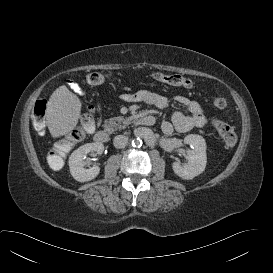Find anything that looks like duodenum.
Here are the masks:
<instances>
[{
    "mask_svg": "<svg viewBox=\"0 0 273 273\" xmlns=\"http://www.w3.org/2000/svg\"><path fill=\"white\" fill-rule=\"evenodd\" d=\"M154 123V117L150 115L141 116L137 119V124L140 126H150ZM94 140L97 143L105 144L110 140V134L104 129H100L94 133Z\"/></svg>",
    "mask_w": 273,
    "mask_h": 273,
    "instance_id": "1",
    "label": "duodenum"
}]
</instances>
